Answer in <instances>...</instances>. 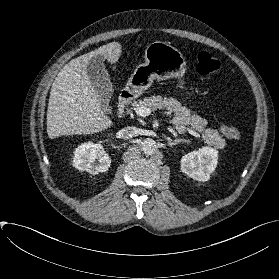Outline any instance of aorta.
<instances>
[{
    "label": "aorta",
    "mask_w": 279,
    "mask_h": 279,
    "mask_svg": "<svg viewBox=\"0 0 279 279\" xmlns=\"http://www.w3.org/2000/svg\"><path fill=\"white\" fill-rule=\"evenodd\" d=\"M141 148L144 154L152 155L156 151L157 145L153 139L147 138L142 142Z\"/></svg>",
    "instance_id": "aorta-1"
}]
</instances>
